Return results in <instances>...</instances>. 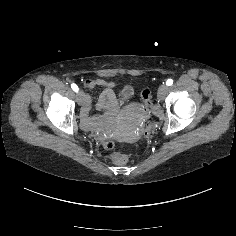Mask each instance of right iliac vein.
I'll return each mask as SVG.
<instances>
[{
  "instance_id": "63e3f726",
  "label": "right iliac vein",
  "mask_w": 236,
  "mask_h": 236,
  "mask_svg": "<svg viewBox=\"0 0 236 236\" xmlns=\"http://www.w3.org/2000/svg\"><path fill=\"white\" fill-rule=\"evenodd\" d=\"M85 99V93L83 91H79L76 95V100L78 105H82Z\"/></svg>"
}]
</instances>
